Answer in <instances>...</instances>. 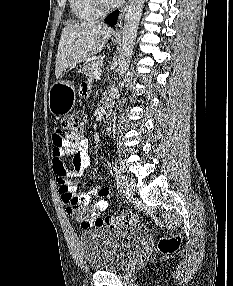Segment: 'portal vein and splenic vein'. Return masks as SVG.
I'll return each instance as SVG.
<instances>
[{"mask_svg": "<svg viewBox=\"0 0 233 286\" xmlns=\"http://www.w3.org/2000/svg\"><path fill=\"white\" fill-rule=\"evenodd\" d=\"M99 75H100V73H98V76H97V78H99Z\"/></svg>", "mask_w": 233, "mask_h": 286, "instance_id": "18ae733b", "label": "portal vein and splenic vein"}]
</instances>
